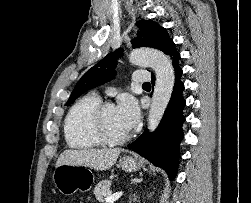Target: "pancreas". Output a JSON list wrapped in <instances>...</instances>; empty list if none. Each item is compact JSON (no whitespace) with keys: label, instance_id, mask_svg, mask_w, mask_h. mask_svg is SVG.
Wrapping results in <instances>:
<instances>
[{"label":"pancreas","instance_id":"1","mask_svg":"<svg viewBox=\"0 0 251 203\" xmlns=\"http://www.w3.org/2000/svg\"><path fill=\"white\" fill-rule=\"evenodd\" d=\"M111 181L102 180L94 188V195L99 202H104V197L111 195Z\"/></svg>","mask_w":251,"mask_h":203}]
</instances>
